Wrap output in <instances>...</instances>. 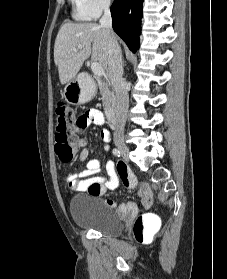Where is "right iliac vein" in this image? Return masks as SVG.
Segmentation results:
<instances>
[{
  "label": "right iliac vein",
  "instance_id": "63e3f726",
  "mask_svg": "<svg viewBox=\"0 0 227 279\" xmlns=\"http://www.w3.org/2000/svg\"><path fill=\"white\" fill-rule=\"evenodd\" d=\"M115 144H116L117 148L119 149V151H120L121 155L123 156V158L128 160L129 149H128L127 145L124 143V141L123 140H116Z\"/></svg>",
  "mask_w": 227,
  "mask_h": 279
}]
</instances>
